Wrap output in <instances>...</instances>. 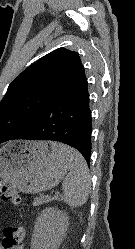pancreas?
Returning a JSON list of instances; mask_svg holds the SVG:
<instances>
[{"instance_id":"cf45deb5","label":"pancreas","mask_w":135,"mask_h":249,"mask_svg":"<svg viewBox=\"0 0 135 249\" xmlns=\"http://www.w3.org/2000/svg\"><path fill=\"white\" fill-rule=\"evenodd\" d=\"M53 199L49 196H42V197H39V198H35L34 201H33V206H40L42 204H45V203H49L51 202Z\"/></svg>"}]
</instances>
